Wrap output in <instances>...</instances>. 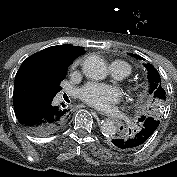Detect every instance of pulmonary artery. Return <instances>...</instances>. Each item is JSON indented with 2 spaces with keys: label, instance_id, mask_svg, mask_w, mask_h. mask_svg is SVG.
Returning <instances> with one entry per match:
<instances>
[{
  "label": "pulmonary artery",
  "instance_id": "obj_1",
  "mask_svg": "<svg viewBox=\"0 0 177 177\" xmlns=\"http://www.w3.org/2000/svg\"><path fill=\"white\" fill-rule=\"evenodd\" d=\"M111 73L117 79H123L129 75V71L122 61H115L111 64Z\"/></svg>",
  "mask_w": 177,
  "mask_h": 177
}]
</instances>
